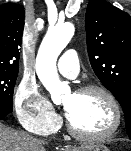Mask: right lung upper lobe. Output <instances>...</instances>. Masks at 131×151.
I'll return each mask as SVG.
<instances>
[{
    "label": "right lung upper lobe",
    "instance_id": "cb5924a9",
    "mask_svg": "<svg viewBox=\"0 0 131 151\" xmlns=\"http://www.w3.org/2000/svg\"><path fill=\"white\" fill-rule=\"evenodd\" d=\"M24 13L18 4L0 6V69H18Z\"/></svg>",
    "mask_w": 131,
    "mask_h": 151
}]
</instances>
